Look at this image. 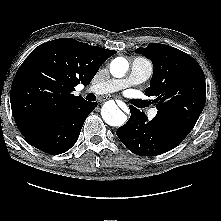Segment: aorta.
Segmentation results:
<instances>
[{
    "instance_id": "1",
    "label": "aorta",
    "mask_w": 221,
    "mask_h": 221,
    "mask_svg": "<svg viewBox=\"0 0 221 221\" xmlns=\"http://www.w3.org/2000/svg\"><path fill=\"white\" fill-rule=\"evenodd\" d=\"M129 69L128 61L123 57H117L110 64V73L113 77H123ZM103 120L110 126L120 127L126 120L127 116L119 109L114 101L106 102L101 110Z\"/></svg>"
}]
</instances>
